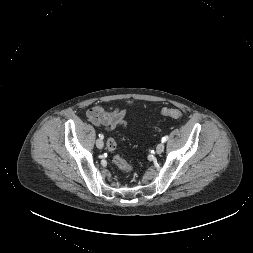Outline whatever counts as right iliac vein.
I'll list each match as a JSON object with an SVG mask.
<instances>
[{
    "mask_svg": "<svg viewBox=\"0 0 253 253\" xmlns=\"http://www.w3.org/2000/svg\"><path fill=\"white\" fill-rule=\"evenodd\" d=\"M96 146H97V148L102 149L103 146H104L103 140L102 139H97L96 140Z\"/></svg>",
    "mask_w": 253,
    "mask_h": 253,
    "instance_id": "63e3f726",
    "label": "right iliac vein"
}]
</instances>
